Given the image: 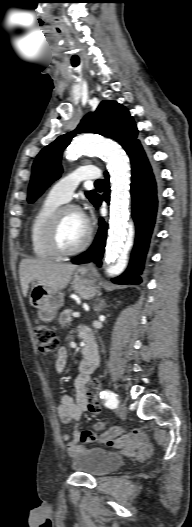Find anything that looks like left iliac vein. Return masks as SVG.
<instances>
[{
  "instance_id": "obj_1",
  "label": "left iliac vein",
  "mask_w": 192,
  "mask_h": 527,
  "mask_svg": "<svg viewBox=\"0 0 192 527\" xmlns=\"http://www.w3.org/2000/svg\"><path fill=\"white\" fill-rule=\"evenodd\" d=\"M115 412L120 418H122V419L126 418L127 410H126V406L124 404H122V403L119 404L118 407L116 408Z\"/></svg>"
}]
</instances>
